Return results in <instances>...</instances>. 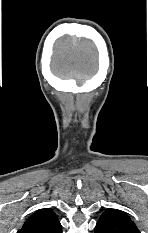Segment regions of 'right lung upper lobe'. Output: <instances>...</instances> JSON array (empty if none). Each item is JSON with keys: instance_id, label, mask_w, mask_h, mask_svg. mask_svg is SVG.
Instances as JSON below:
<instances>
[{"instance_id": "cb5924a9", "label": "right lung upper lobe", "mask_w": 148, "mask_h": 233, "mask_svg": "<svg viewBox=\"0 0 148 233\" xmlns=\"http://www.w3.org/2000/svg\"><path fill=\"white\" fill-rule=\"evenodd\" d=\"M17 233H62V227L55 213L45 208L30 216Z\"/></svg>"}]
</instances>
